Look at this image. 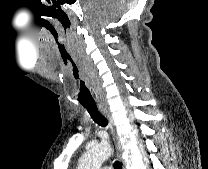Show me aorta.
<instances>
[{
	"label": "aorta",
	"instance_id": "1",
	"mask_svg": "<svg viewBox=\"0 0 208 169\" xmlns=\"http://www.w3.org/2000/svg\"><path fill=\"white\" fill-rule=\"evenodd\" d=\"M109 144L99 143L91 146L79 159L77 169H100L102 163L111 156Z\"/></svg>",
	"mask_w": 208,
	"mask_h": 169
}]
</instances>
